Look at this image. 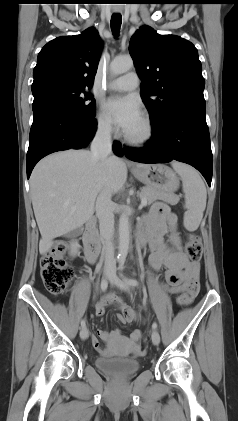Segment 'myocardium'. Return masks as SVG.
<instances>
[{
  "label": "myocardium",
  "instance_id": "1",
  "mask_svg": "<svg viewBox=\"0 0 238 421\" xmlns=\"http://www.w3.org/2000/svg\"><path fill=\"white\" fill-rule=\"evenodd\" d=\"M141 119L143 121L144 124V133L142 136L140 137H132L130 135H128L126 132H124L123 137L124 140L127 144L131 145V146H135V147H143L148 145L154 135V128H153V124L152 121L150 119V117L146 114H143L141 116Z\"/></svg>",
  "mask_w": 238,
  "mask_h": 421
}]
</instances>
